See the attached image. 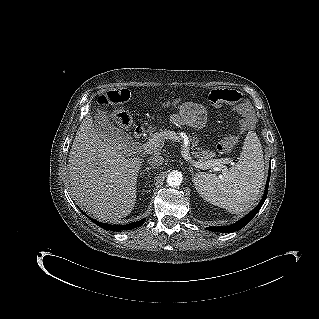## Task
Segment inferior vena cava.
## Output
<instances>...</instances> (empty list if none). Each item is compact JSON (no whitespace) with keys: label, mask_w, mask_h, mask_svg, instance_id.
<instances>
[{"label":"inferior vena cava","mask_w":319,"mask_h":319,"mask_svg":"<svg viewBox=\"0 0 319 319\" xmlns=\"http://www.w3.org/2000/svg\"><path fill=\"white\" fill-rule=\"evenodd\" d=\"M147 162L153 168H156L161 166L164 163V158L159 153H155L154 155L148 158Z\"/></svg>","instance_id":"inferior-vena-cava-1"}]
</instances>
